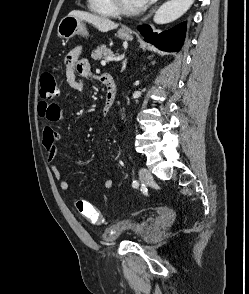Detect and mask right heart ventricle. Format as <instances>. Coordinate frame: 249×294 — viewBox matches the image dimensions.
I'll list each match as a JSON object with an SVG mask.
<instances>
[{
  "mask_svg": "<svg viewBox=\"0 0 249 294\" xmlns=\"http://www.w3.org/2000/svg\"><path fill=\"white\" fill-rule=\"evenodd\" d=\"M87 4L90 11L97 15L114 17L118 14L110 0H87Z\"/></svg>",
  "mask_w": 249,
  "mask_h": 294,
  "instance_id": "e07e8e85",
  "label": "right heart ventricle"
}]
</instances>
